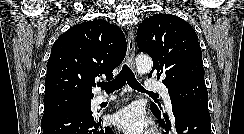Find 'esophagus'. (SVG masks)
<instances>
[{
    "instance_id": "1",
    "label": "esophagus",
    "mask_w": 244,
    "mask_h": 134,
    "mask_svg": "<svg viewBox=\"0 0 244 134\" xmlns=\"http://www.w3.org/2000/svg\"><path fill=\"white\" fill-rule=\"evenodd\" d=\"M134 56H135V41L134 35L131 31L127 35V63L131 70H134Z\"/></svg>"
}]
</instances>
